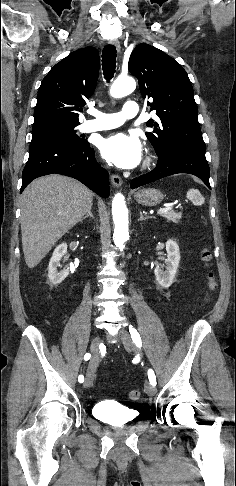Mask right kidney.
Here are the masks:
<instances>
[{
	"mask_svg": "<svg viewBox=\"0 0 236 486\" xmlns=\"http://www.w3.org/2000/svg\"><path fill=\"white\" fill-rule=\"evenodd\" d=\"M66 252L67 244L61 243L55 248L53 255L50 259L48 266V281L53 286L60 284L69 274V270H64L61 272L57 271V267L60 266V261L62 257L66 254Z\"/></svg>",
	"mask_w": 236,
	"mask_h": 486,
	"instance_id": "obj_1",
	"label": "right kidney"
}]
</instances>
